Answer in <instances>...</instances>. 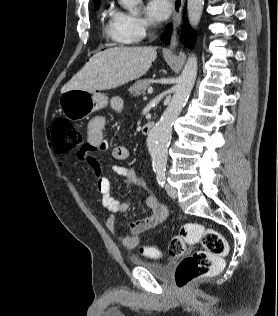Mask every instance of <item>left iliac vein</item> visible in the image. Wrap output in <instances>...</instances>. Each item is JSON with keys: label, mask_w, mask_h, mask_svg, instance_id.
Instances as JSON below:
<instances>
[{"label": "left iliac vein", "mask_w": 278, "mask_h": 316, "mask_svg": "<svg viewBox=\"0 0 278 316\" xmlns=\"http://www.w3.org/2000/svg\"><path fill=\"white\" fill-rule=\"evenodd\" d=\"M166 190L171 198H177V190L173 186H171L170 184H166Z\"/></svg>", "instance_id": "4c4485c4"}]
</instances>
